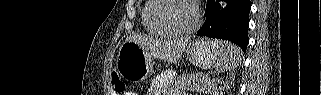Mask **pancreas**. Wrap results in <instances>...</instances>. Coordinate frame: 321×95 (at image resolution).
Wrapping results in <instances>:
<instances>
[{
    "label": "pancreas",
    "instance_id": "1",
    "mask_svg": "<svg viewBox=\"0 0 321 95\" xmlns=\"http://www.w3.org/2000/svg\"><path fill=\"white\" fill-rule=\"evenodd\" d=\"M174 88L197 91L203 93V95H207L208 93H214L216 91L217 81L199 73L188 74L180 77L174 85Z\"/></svg>",
    "mask_w": 321,
    "mask_h": 95
}]
</instances>
